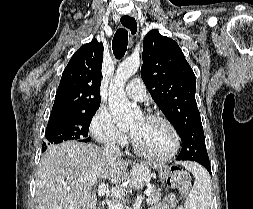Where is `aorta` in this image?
I'll use <instances>...</instances> for the list:
<instances>
[{
	"instance_id": "obj_1",
	"label": "aorta",
	"mask_w": 253,
	"mask_h": 209,
	"mask_svg": "<svg viewBox=\"0 0 253 209\" xmlns=\"http://www.w3.org/2000/svg\"><path fill=\"white\" fill-rule=\"evenodd\" d=\"M139 57H129L117 67L115 76L109 86V110L116 125L123 129L129 127L139 115V109L128 101L124 87L140 67Z\"/></svg>"
}]
</instances>
